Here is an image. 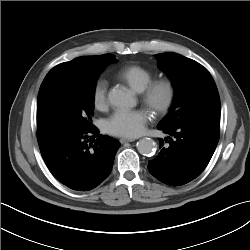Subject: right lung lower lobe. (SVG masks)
Returning <instances> with one entry per match:
<instances>
[{
    "instance_id": "98d812e1",
    "label": "right lung lower lobe",
    "mask_w": 250,
    "mask_h": 250,
    "mask_svg": "<svg viewBox=\"0 0 250 250\" xmlns=\"http://www.w3.org/2000/svg\"><path fill=\"white\" fill-rule=\"evenodd\" d=\"M98 133L94 127L86 133L38 140L48 169L60 183L72 190L89 191L108 177L120 143Z\"/></svg>"
}]
</instances>
